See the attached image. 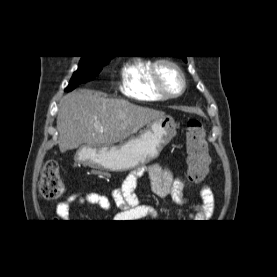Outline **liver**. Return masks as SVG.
<instances>
[{
    "label": "liver",
    "mask_w": 277,
    "mask_h": 277,
    "mask_svg": "<svg viewBox=\"0 0 277 277\" xmlns=\"http://www.w3.org/2000/svg\"><path fill=\"white\" fill-rule=\"evenodd\" d=\"M165 113L122 99H109L101 92L81 89L65 95L59 104V149L66 152L82 144L109 146L127 139Z\"/></svg>",
    "instance_id": "6515ba94"
}]
</instances>
